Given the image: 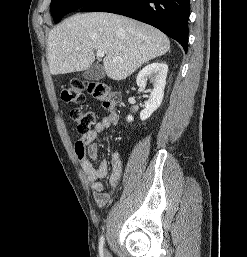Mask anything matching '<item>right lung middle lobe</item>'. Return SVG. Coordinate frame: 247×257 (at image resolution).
<instances>
[{"label": "right lung middle lobe", "mask_w": 247, "mask_h": 257, "mask_svg": "<svg viewBox=\"0 0 247 257\" xmlns=\"http://www.w3.org/2000/svg\"><path fill=\"white\" fill-rule=\"evenodd\" d=\"M93 0H52L51 1V14L54 23H58L68 13L77 9H81Z\"/></svg>", "instance_id": "1"}]
</instances>
